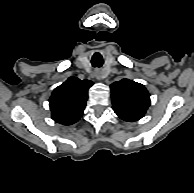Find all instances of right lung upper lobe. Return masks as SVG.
<instances>
[{"label": "right lung upper lobe", "mask_w": 194, "mask_h": 193, "mask_svg": "<svg viewBox=\"0 0 194 193\" xmlns=\"http://www.w3.org/2000/svg\"><path fill=\"white\" fill-rule=\"evenodd\" d=\"M92 81L70 77L56 87L49 99L52 119L63 125L77 122L86 106L88 89Z\"/></svg>", "instance_id": "obj_1"}]
</instances>
